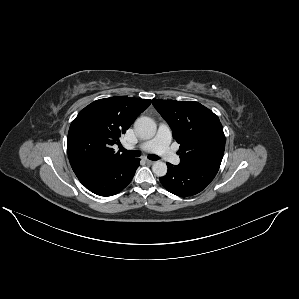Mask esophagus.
I'll return each mask as SVG.
<instances>
[{
  "instance_id": "obj_1",
  "label": "esophagus",
  "mask_w": 299,
  "mask_h": 299,
  "mask_svg": "<svg viewBox=\"0 0 299 299\" xmlns=\"http://www.w3.org/2000/svg\"><path fill=\"white\" fill-rule=\"evenodd\" d=\"M145 162H146L148 165H152V164L154 163V161L149 160V159H145Z\"/></svg>"
}]
</instances>
